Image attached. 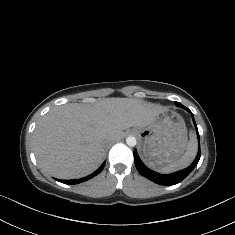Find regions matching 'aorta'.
Returning <instances> with one entry per match:
<instances>
[{"label": "aorta", "mask_w": 235, "mask_h": 235, "mask_svg": "<svg viewBox=\"0 0 235 235\" xmlns=\"http://www.w3.org/2000/svg\"><path fill=\"white\" fill-rule=\"evenodd\" d=\"M126 143H127V145L128 146H135L136 145V138L135 137H133V136H129V137H127V139H126Z\"/></svg>", "instance_id": "1"}]
</instances>
